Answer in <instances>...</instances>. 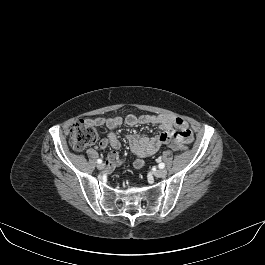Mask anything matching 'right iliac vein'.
Segmentation results:
<instances>
[{"label":"right iliac vein","instance_id":"63e3f726","mask_svg":"<svg viewBox=\"0 0 265 265\" xmlns=\"http://www.w3.org/2000/svg\"><path fill=\"white\" fill-rule=\"evenodd\" d=\"M99 170H103L105 168V164L101 163L97 166Z\"/></svg>","mask_w":265,"mask_h":265}]
</instances>
